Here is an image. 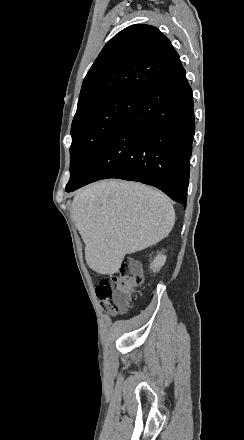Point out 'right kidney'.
I'll return each instance as SVG.
<instances>
[{"label": "right kidney", "instance_id": "ca27d5eb", "mask_svg": "<svg viewBox=\"0 0 244 440\" xmlns=\"http://www.w3.org/2000/svg\"><path fill=\"white\" fill-rule=\"evenodd\" d=\"M165 262H166V256H164V254H158L155 260H153L150 266V270H153V272H159L162 266H164Z\"/></svg>", "mask_w": 244, "mask_h": 440}]
</instances>
